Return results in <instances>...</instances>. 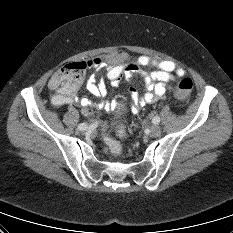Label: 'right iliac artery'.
I'll return each instance as SVG.
<instances>
[{"mask_svg": "<svg viewBox=\"0 0 233 233\" xmlns=\"http://www.w3.org/2000/svg\"><path fill=\"white\" fill-rule=\"evenodd\" d=\"M84 127H87L86 123H81V124L78 125L79 130H82Z\"/></svg>", "mask_w": 233, "mask_h": 233, "instance_id": "right-iliac-artery-1", "label": "right iliac artery"}]
</instances>
